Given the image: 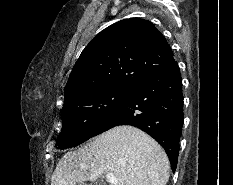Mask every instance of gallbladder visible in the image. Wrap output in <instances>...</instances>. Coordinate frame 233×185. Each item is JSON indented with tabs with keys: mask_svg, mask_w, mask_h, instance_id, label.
<instances>
[{
	"mask_svg": "<svg viewBox=\"0 0 233 185\" xmlns=\"http://www.w3.org/2000/svg\"><path fill=\"white\" fill-rule=\"evenodd\" d=\"M93 185H103V183L96 181Z\"/></svg>",
	"mask_w": 233,
	"mask_h": 185,
	"instance_id": "bac80fb5",
	"label": "gallbladder"
}]
</instances>
